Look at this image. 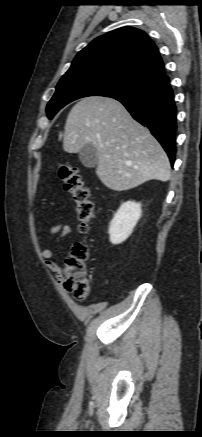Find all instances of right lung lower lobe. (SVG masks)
Listing matches in <instances>:
<instances>
[{
  "mask_svg": "<svg viewBox=\"0 0 202 437\" xmlns=\"http://www.w3.org/2000/svg\"><path fill=\"white\" fill-rule=\"evenodd\" d=\"M145 125L165 149L173 166L176 154V105L169 78L161 76L149 87L134 95L114 97Z\"/></svg>",
  "mask_w": 202,
  "mask_h": 437,
  "instance_id": "1",
  "label": "right lung lower lobe"
}]
</instances>
